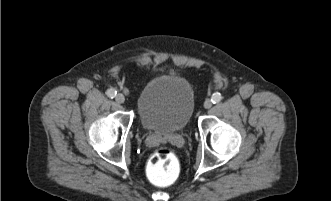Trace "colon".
I'll return each instance as SVG.
<instances>
[{
  "instance_id": "1",
  "label": "colon",
  "mask_w": 331,
  "mask_h": 201,
  "mask_svg": "<svg viewBox=\"0 0 331 201\" xmlns=\"http://www.w3.org/2000/svg\"><path fill=\"white\" fill-rule=\"evenodd\" d=\"M180 164L176 154L168 148H159L150 156L146 173L149 180L160 187L173 184L178 178Z\"/></svg>"
}]
</instances>
